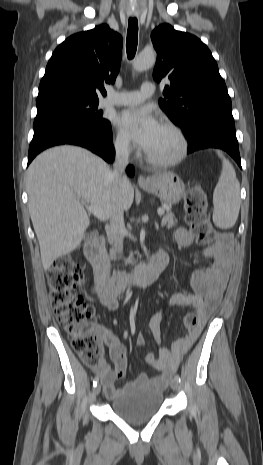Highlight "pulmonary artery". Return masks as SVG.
<instances>
[{
  "mask_svg": "<svg viewBox=\"0 0 263 465\" xmlns=\"http://www.w3.org/2000/svg\"><path fill=\"white\" fill-rule=\"evenodd\" d=\"M155 92V85L152 82H144L141 85L140 90L137 91H125V92H114L111 91L110 94L103 100L102 104L117 105V106H126V105H137L142 103L146 98L152 96Z\"/></svg>",
  "mask_w": 263,
  "mask_h": 465,
  "instance_id": "e3ab8cb5",
  "label": "pulmonary artery"
}]
</instances>
